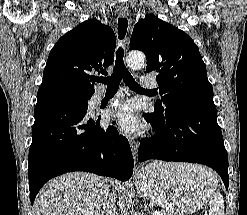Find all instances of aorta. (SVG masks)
<instances>
[{"instance_id": "762f6f07", "label": "aorta", "mask_w": 247, "mask_h": 215, "mask_svg": "<svg viewBox=\"0 0 247 215\" xmlns=\"http://www.w3.org/2000/svg\"><path fill=\"white\" fill-rule=\"evenodd\" d=\"M145 60H146V57L141 52H131L129 53L127 57V63L133 69L141 68L145 63Z\"/></svg>"}]
</instances>
